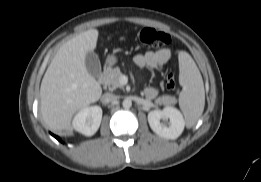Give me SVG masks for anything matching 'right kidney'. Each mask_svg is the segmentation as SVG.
Here are the masks:
<instances>
[{
    "label": "right kidney",
    "instance_id": "right-kidney-1",
    "mask_svg": "<svg viewBox=\"0 0 261 182\" xmlns=\"http://www.w3.org/2000/svg\"><path fill=\"white\" fill-rule=\"evenodd\" d=\"M102 120V109L100 106H90L82 108L73 119V128L86 135H94Z\"/></svg>",
    "mask_w": 261,
    "mask_h": 182
}]
</instances>
